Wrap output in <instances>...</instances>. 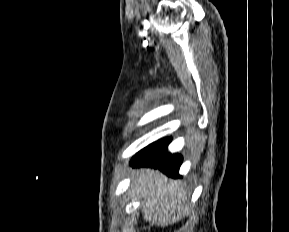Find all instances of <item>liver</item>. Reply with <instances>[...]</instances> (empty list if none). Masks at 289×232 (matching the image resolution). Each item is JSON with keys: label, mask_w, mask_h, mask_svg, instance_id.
I'll return each instance as SVG.
<instances>
[{"label": "liver", "mask_w": 289, "mask_h": 232, "mask_svg": "<svg viewBox=\"0 0 289 232\" xmlns=\"http://www.w3.org/2000/svg\"><path fill=\"white\" fill-rule=\"evenodd\" d=\"M129 195L142 201L145 221L165 227L189 213L191 204L180 181L169 179L158 170L136 169L131 173Z\"/></svg>", "instance_id": "6515ba94"}]
</instances>
